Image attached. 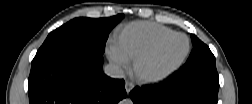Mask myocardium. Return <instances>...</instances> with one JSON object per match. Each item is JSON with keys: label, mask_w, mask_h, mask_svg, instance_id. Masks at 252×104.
I'll use <instances>...</instances> for the list:
<instances>
[{"label": "myocardium", "mask_w": 252, "mask_h": 104, "mask_svg": "<svg viewBox=\"0 0 252 104\" xmlns=\"http://www.w3.org/2000/svg\"><path fill=\"white\" fill-rule=\"evenodd\" d=\"M173 36H183L186 41H187V46L186 49L184 51V53L174 62L168 63L164 66H162L161 68L152 71V72H144L141 70V65L142 63L151 55H153V53L161 46V44L167 39V38H163L161 40H159L158 42L154 43L153 45H151L150 47H148L147 49H145L142 53H140L135 59H134V63H133V68L134 71L136 73V75L138 76L139 79L143 80V81H152V80H156L159 79L163 76H165L166 74H168L169 72H171L172 70L178 68L183 61L185 60V58L187 57L189 51H190V41L188 36H186L185 34L182 33H174Z\"/></svg>", "instance_id": "myocardium-1"}]
</instances>
